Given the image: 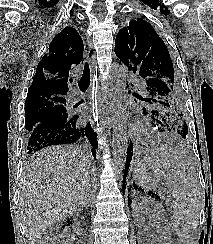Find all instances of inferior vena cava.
<instances>
[{
  "mask_svg": "<svg viewBox=\"0 0 213 244\" xmlns=\"http://www.w3.org/2000/svg\"><path fill=\"white\" fill-rule=\"evenodd\" d=\"M90 199H91V194H90V191L87 190L86 191V194H85V199H84V202L86 205L90 203Z\"/></svg>",
  "mask_w": 213,
  "mask_h": 244,
  "instance_id": "602c4592",
  "label": "inferior vena cava"
}]
</instances>
